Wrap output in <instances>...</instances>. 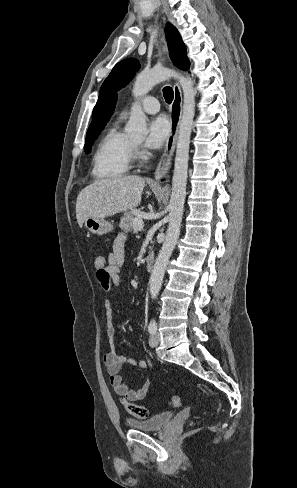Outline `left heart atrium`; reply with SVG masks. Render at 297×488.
<instances>
[{"mask_svg": "<svg viewBox=\"0 0 297 488\" xmlns=\"http://www.w3.org/2000/svg\"><path fill=\"white\" fill-rule=\"evenodd\" d=\"M171 126L164 115H159L149 123V133L146 139L148 149L160 148L168 139Z\"/></svg>", "mask_w": 297, "mask_h": 488, "instance_id": "1", "label": "left heart atrium"}]
</instances>
